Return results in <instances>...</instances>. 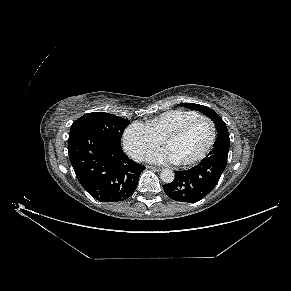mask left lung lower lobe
<instances>
[{
  "label": "left lung lower lobe",
  "instance_id": "1",
  "mask_svg": "<svg viewBox=\"0 0 291 291\" xmlns=\"http://www.w3.org/2000/svg\"><path fill=\"white\" fill-rule=\"evenodd\" d=\"M230 141L215 142L212 151L198 165L186 171H176L173 182L163 185L173 200L194 203L210 193L223 173Z\"/></svg>",
  "mask_w": 291,
  "mask_h": 291
}]
</instances>
